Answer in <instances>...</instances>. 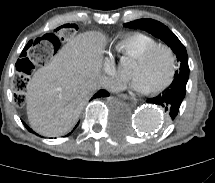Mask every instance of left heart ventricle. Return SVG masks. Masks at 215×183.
Returning a JSON list of instances; mask_svg holds the SVG:
<instances>
[{
	"mask_svg": "<svg viewBox=\"0 0 215 183\" xmlns=\"http://www.w3.org/2000/svg\"><path fill=\"white\" fill-rule=\"evenodd\" d=\"M171 72V60L165 51H158L146 61L135 60L131 69L132 76L140 77L148 90L164 83Z\"/></svg>",
	"mask_w": 215,
	"mask_h": 183,
	"instance_id": "obj_1",
	"label": "left heart ventricle"
}]
</instances>
